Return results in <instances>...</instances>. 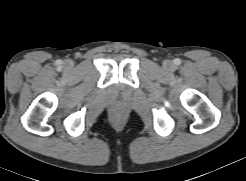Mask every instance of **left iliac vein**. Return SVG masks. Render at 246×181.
Returning <instances> with one entry per match:
<instances>
[{"instance_id":"1","label":"left iliac vein","mask_w":246,"mask_h":181,"mask_svg":"<svg viewBox=\"0 0 246 181\" xmlns=\"http://www.w3.org/2000/svg\"><path fill=\"white\" fill-rule=\"evenodd\" d=\"M167 66H170V63H167Z\"/></svg>"}]
</instances>
